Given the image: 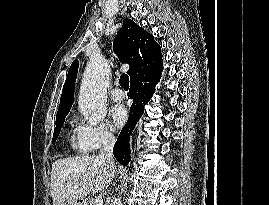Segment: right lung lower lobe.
Segmentation results:
<instances>
[{
  "label": "right lung lower lobe",
  "instance_id": "right-lung-lower-lobe-1",
  "mask_svg": "<svg viewBox=\"0 0 269 205\" xmlns=\"http://www.w3.org/2000/svg\"><path fill=\"white\" fill-rule=\"evenodd\" d=\"M161 76L151 74L140 79L137 82H132L128 96L133 99V104L130 108L127 124L123 127L118 139L114 145L113 153L117 161L126 166L131 160L129 149V137L132 129L142 116L144 106L148 103L155 90V84Z\"/></svg>",
  "mask_w": 269,
  "mask_h": 205
}]
</instances>
